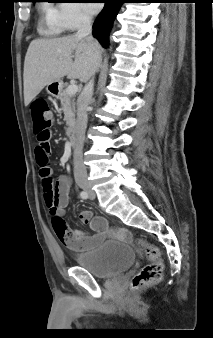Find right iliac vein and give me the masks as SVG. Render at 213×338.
<instances>
[{
    "label": "right iliac vein",
    "instance_id": "1",
    "mask_svg": "<svg viewBox=\"0 0 213 338\" xmlns=\"http://www.w3.org/2000/svg\"><path fill=\"white\" fill-rule=\"evenodd\" d=\"M81 187H82L84 190H88V189H89V186H88V185H81Z\"/></svg>",
    "mask_w": 213,
    "mask_h": 338
}]
</instances>
